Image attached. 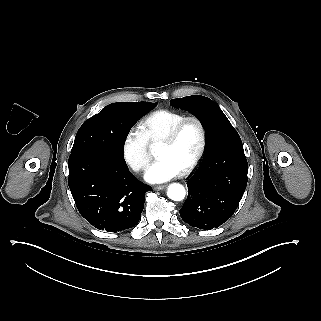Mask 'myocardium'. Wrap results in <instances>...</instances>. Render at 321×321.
<instances>
[{
  "mask_svg": "<svg viewBox=\"0 0 321 321\" xmlns=\"http://www.w3.org/2000/svg\"><path fill=\"white\" fill-rule=\"evenodd\" d=\"M188 122H195L198 125L200 131V145L195 157L192 159L190 164L182 171V174H189L194 171L205 155L207 148V130L204 122L197 116H186L182 120L177 122L166 134L160 137L166 142H174L179 136L182 128Z\"/></svg>",
  "mask_w": 321,
  "mask_h": 321,
  "instance_id": "f54148a6",
  "label": "myocardium"
}]
</instances>
